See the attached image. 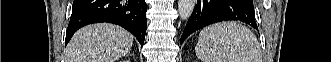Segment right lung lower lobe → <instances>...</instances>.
I'll list each match as a JSON object with an SVG mask.
<instances>
[{
	"label": "right lung lower lobe",
	"mask_w": 331,
	"mask_h": 62,
	"mask_svg": "<svg viewBox=\"0 0 331 62\" xmlns=\"http://www.w3.org/2000/svg\"><path fill=\"white\" fill-rule=\"evenodd\" d=\"M145 0H74L65 44L79 28L99 22L122 26L144 44L147 19Z\"/></svg>",
	"instance_id": "1"
}]
</instances>
